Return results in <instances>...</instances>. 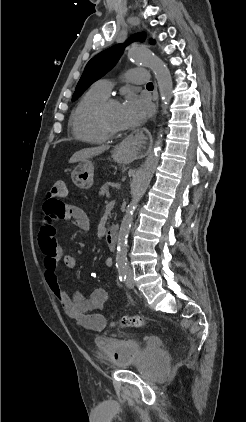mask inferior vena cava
Returning a JSON list of instances; mask_svg holds the SVG:
<instances>
[{
	"label": "inferior vena cava",
	"mask_w": 246,
	"mask_h": 422,
	"mask_svg": "<svg viewBox=\"0 0 246 422\" xmlns=\"http://www.w3.org/2000/svg\"><path fill=\"white\" fill-rule=\"evenodd\" d=\"M125 270H126L127 272L131 273V269H130V267H129V266H126Z\"/></svg>",
	"instance_id": "602c4592"
}]
</instances>
